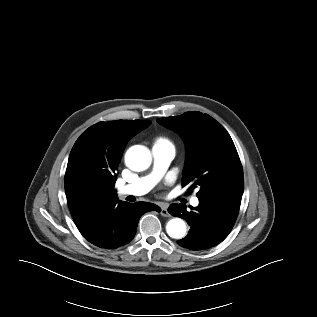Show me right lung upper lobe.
<instances>
[{
	"instance_id": "obj_1",
	"label": "right lung upper lobe",
	"mask_w": 317,
	"mask_h": 317,
	"mask_svg": "<svg viewBox=\"0 0 317 317\" xmlns=\"http://www.w3.org/2000/svg\"><path fill=\"white\" fill-rule=\"evenodd\" d=\"M151 121L117 120L100 122L84 131L75 142L65 173V190L77 180H89L103 187L105 199L117 197L114 185L127 142Z\"/></svg>"
}]
</instances>
